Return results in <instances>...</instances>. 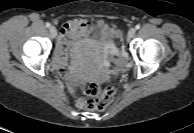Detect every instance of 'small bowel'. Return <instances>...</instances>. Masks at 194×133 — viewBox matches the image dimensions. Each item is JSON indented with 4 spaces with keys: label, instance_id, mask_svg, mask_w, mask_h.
<instances>
[{
    "label": "small bowel",
    "instance_id": "c3829d8e",
    "mask_svg": "<svg viewBox=\"0 0 194 133\" xmlns=\"http://www.w3.org/2000/svg\"><path fill=\"white\" fill-rule=\"evenodd\" d=\"M97 26L108 28V26L102 21L98 22ZM92 28L93 26L89 21L80 18L67 21L61 28L58 46L54 57V68L58 74L65 79L72 91L74 90L73 77L65 70L68 52L71 46L89 34ZM110 29L115 32L114 28Z\"/></svg>",
    "mask_w": 194,
    "mask_h": 133
}]
</instances>
